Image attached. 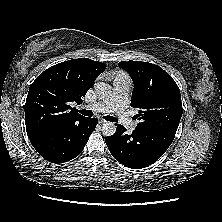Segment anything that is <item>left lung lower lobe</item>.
I'll use <instances>...</instances> for the list:
<instances>
[{
    "instance_id": "0a47b994",
    "label": "left lung lower lobe",
    "mask_w": 222,
    "mask_h": 222,
    "mask_svg": "<svg viewBox=\"0 0 222 222\" xmlns=\"http://www.w3.org/2000/svg\"><path fill=\"white\" fill-rule=\"evenodd\" d=\"M175 133L165 129H138L131 135L122 125H117L114 135L105 142L113 157L133 169L147 167L156 162L169 148Z\"/></svg>"
}]
</instances>
